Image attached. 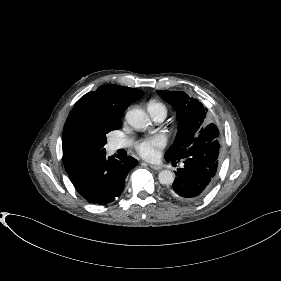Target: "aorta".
Wrapping results in <instances>:
<instances>
[{"mask_svg": "<svg viewBox=\"0 0 281 281\" xmlns=\"http://www.w3.org/2000/svg\"><path fill=\"white\" fill-rule=\"evenodd\" d=\"M126 121L135 129H145L149 126V117L145 111L141 109H132L126 113ZM159 182L162 185H171L175 176L170 170H162L158 175Z\"/></svg>", "mask_w": 281, "mask_h": 281, "instance_id": "aorta-1", "label": "aorta"}]
</instances>
